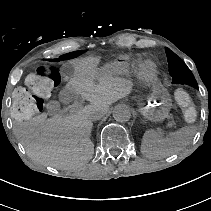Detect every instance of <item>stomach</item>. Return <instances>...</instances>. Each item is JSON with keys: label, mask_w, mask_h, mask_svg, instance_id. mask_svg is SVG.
<instances>
[{"label": "stomach", "mask_w": 211, "mask_h": 211, "mask_svg": "<svg viewBox=\"0 0 211 211\" xmlns=\"http://www.w3.org/2000/svg\"><path fill=\"white\" fill-rule=\"evenodd\" d=\"M98 71L97 74L103 73ZM118 74H124L125 70L120 69ZM84 78H92V73L84 75ZM172 107L171 98L168 91L158 82L153 84V92L147 103L142 106L139 111L145 119L152 122H162L168 117V113Z\"/></svg>", "instance_id": "0dacf381"}]
</instances>
